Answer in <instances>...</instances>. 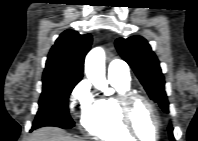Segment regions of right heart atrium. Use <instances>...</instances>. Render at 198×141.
<instances>
[{"label":"right heart atrium","mask_w":198,"mask_h":141,"mask_svg":"<svg viewBox=\"0 0 198 141\" xmlns=\"http://www.w3.org/2000/svg\"><path fill=\"white\" fill-rule=\"evenodd\" d=\"M92 91L88 80L80 81L72 90L69 97V110L72 114L79 113L83 119L92 106Z\"/></svg>","instance_id":"1"}]
</instances>
